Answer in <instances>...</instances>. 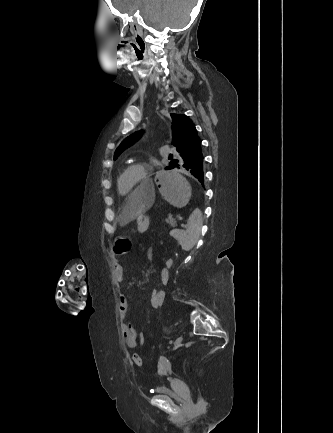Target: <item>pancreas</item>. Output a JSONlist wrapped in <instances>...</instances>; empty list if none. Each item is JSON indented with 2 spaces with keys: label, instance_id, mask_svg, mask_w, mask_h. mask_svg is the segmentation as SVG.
Returning a JSON list of instances; mask_svg holds the SVG:
<instances>
[{
  "label": "pancreas",
  "instance_id": "1",
  "mask_svg": "<svg viewBox=\"0 0 333 433\" xmlns=\"http://www.w3.org/2000/svg\"><path fill=\"white\" fill-rule=\"evenodd\" d=\"M165 221H166L168 224H170V222H173V225H171L172 227H175V225H176V222H175V220L172 218L171 215H169L168 218L165 219Z\"/></svg>",
  "mask_w": 333,
  "mask_h": 433
}]
</instances>
